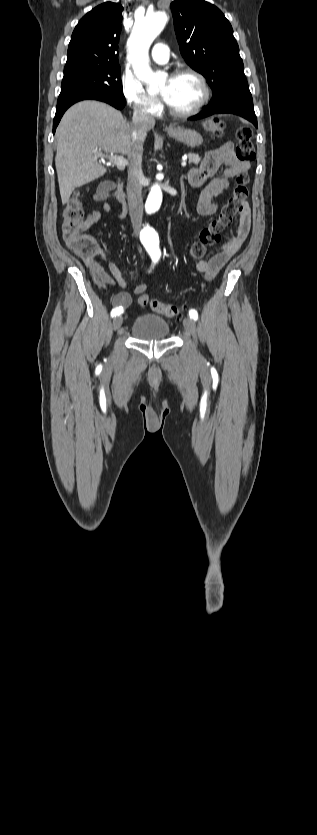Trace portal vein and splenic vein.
<instances>
[{
  "label": "portal vein and splenic vein",
  "instance_id": "portal-vein-and-splenic-vein-1",
  "mask_svg": "<svg viewBox=\"0 0 317 835\" xmlns=\"http://www.w3.org/2000/svg\"><path fill=\"white\" fill-rule=\"evenodd\" d=\"M108 158H109L110 162H112V163L116 164V165H117V166H119V167H125V166L128 164V161H127V160H126L123 156H119V155H116V154L111 153V154L108 156ZM181 166H182L183 168H185V167L187 166V162H186V161H183V162L181 163Z\"/></svg>",
  "mask_w": 317,
  "mask_h": 835
}]
</instances>
